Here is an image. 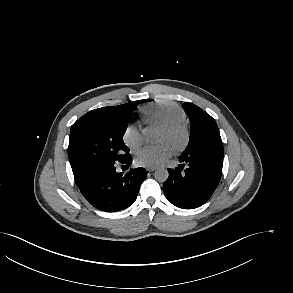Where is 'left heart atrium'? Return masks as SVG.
Segmentation results:
<instances>
[{"label": "left heart atrium", "instance_id": "left-heart-atrium-1", "mask_svg": "<svg viewBox=\"0 0 293 293\" xmlns=\"http://www.w3.org/2000/svg\"><path fill=\"white\" fill-rule=\"evenodd\" d=\"M173 154V147L168 142L156 146H146L135 154V163L142 167H156L161 165Z\"/></svg>", "mask_w": 293, "mask_h": 293}]
</instances>
